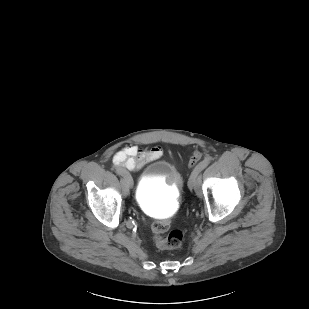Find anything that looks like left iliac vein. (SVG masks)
<instances>
[{
	"instance_id": "1",
	"label": "left iliac vein",
	"mask_w": 309,
	"mask_h": 309,
	"mask_svg": "<svg viewBox=\"0 0 309 309\" xmlns=\"http://www.w3.org/2000/svg\"><path fill=\"white\" fill-rule=\"evenodd\" d=\"M188 187H189L190 189H194L195 193H196L198 196L201 195V189H200V185H198V183H197V177H196L195 181L189 180Z\"/></svg>"
}]
</instances>
